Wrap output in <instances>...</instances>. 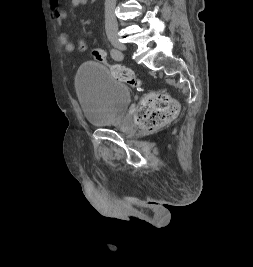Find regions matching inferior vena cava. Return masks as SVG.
<instances>
[{"mask_svg": "<svg viewBox=\"0 0 253 267\" xmlns=\"http://www.w3.org/2000/svg\"><path fill=\"white\" fill-rule=\"evenodd\" d=\"M116 0H105V30H114L117 28V20L115 18Z\"/></svg>", "mask_w": 253, "mask_h": 267, "instance_id": "602c4592", "label": "inferior vena cava"}]
</instances>
